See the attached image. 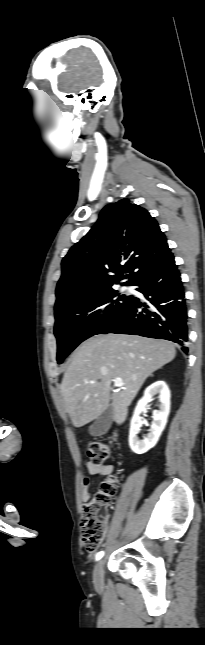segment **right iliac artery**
<instances>
[{"label":"right iliac artery","instance_id":"82829eb1","mask_svg":"<svg viewBox=\"0 0 205 645\" xmlns=\"http://www.w3.org/2000/svg\"><path fill=\"white\" fill-rule=\"evenodd\" d=\"M103 555H104V551L98 552L97 555H96V560L101 559L103 557Z\"/></svg>","mask_w":205,"mask_h":645}]
</instances>
